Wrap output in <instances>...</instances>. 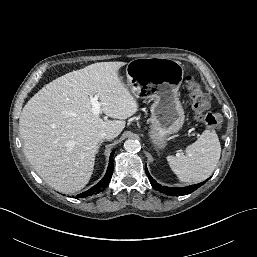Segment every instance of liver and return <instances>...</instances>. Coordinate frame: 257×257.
Returning <instances> with one entry per match:
<instances>
[{
	"label": "liver",
	"instance_id": "1",
	"mask_svg": "<svg viewBox=\"0 0 257 257\" xmlns=\"http://www.w3.org/2000/svg\"><path fill=\"white\" fill-rule=\"evenodd\" d=\"M124 62H99L69 72L38 91L24 106L19 131L23 150L38 175L55 190L73 194L89 182L98 150V134L118 136L138 104L119 77ZM98 96L95 115L90 97Z\"/></svg>",
	"mask_w": 257,
	"mask_h": 257
}]
</instances>
